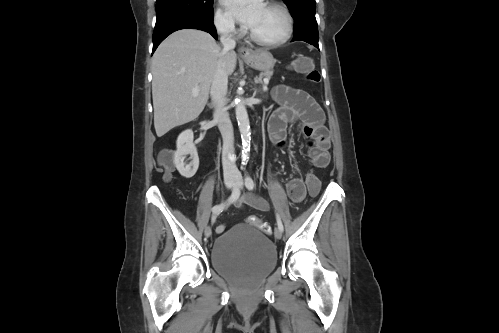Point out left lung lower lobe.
Wrapping results in <instances>:
<instances>
[{"label":"left lung lower lobe","mask_w":499,"mask_h":333,"mask_svg":"<svg viewBox=\"0 0 499 333\" xmlns=\"http://www.w3.org/2000/svg\"><path fill=\"white\" fill-rule=\"evenodd\" d=\"M294 20V37L292 41H305L319 49L318 27L315 15L298 16Z\"/></svg>","instance_id":"1"}]
</instances>
